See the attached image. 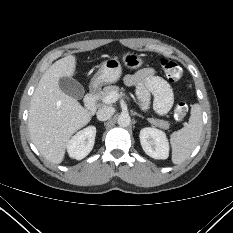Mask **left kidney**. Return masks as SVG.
<instances>
[{
  "label": "left kidney",
  "mask_w": 233,
  "mask_h": 233,
  "mask_svg": "<svg viewBox=\"0 0 233 233\" xmlns=\"http://www.w3.org/2000/svg\"><path fill=\"white\" fill-rule=\"evenodd\" d=\"M140 143L144 152L154 159H167L169 144L166 134L154 127H146L140 131Z\"/></svg>",
  "instance_id": "5707ae66"
}]
</instances>
